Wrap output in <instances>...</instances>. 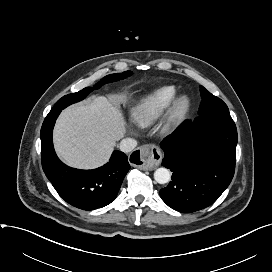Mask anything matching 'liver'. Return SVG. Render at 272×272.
I'll list each match as a JSON object with an SVG mask.
<instances>
[{
    "instance_id": "liver-1",
    "label": "liver",
    "mask_w": 272,
    "mask_h": 272,
    "mask_svg": "<svg viewBox=\"0 0 272 272\" xmlns=\"http://www.w3.org/2000/svg\"><path fill=\"white\" fill-rule=\"evenodd\" d=\"M125 133L121 109L112 100L97 96L61 112L54 128V147L67 165L94 169L108 161Z\"/></svg>"
}]
</instances>
